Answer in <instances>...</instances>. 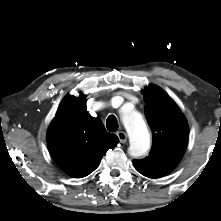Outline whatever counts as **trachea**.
<instances>
[{"mask_svg": "<svg viewBox=\"0 0 221 221\" xmlns=\"http://www.w3.org/2000/svg\"><path fill=\"white\" fill-rule=\"evenodd\" d=\"M106 127H107V130L110 132H115L118 130V122L114 115L108 116L106 120Z\"/></svg>", "mask_w": 221, "mask_h": 221, "instance_id": "obj_1", "label": "trachea"}]
</instances>
